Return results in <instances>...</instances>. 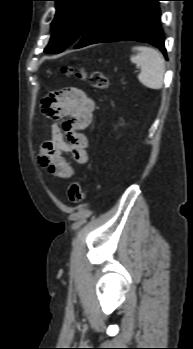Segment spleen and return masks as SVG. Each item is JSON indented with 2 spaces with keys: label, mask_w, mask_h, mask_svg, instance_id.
Segmentation results:
<instances>
[{
  "label": "spleen",
  "mask_w": 193,
  "mask_h": 349,
  "mask_svg": "<svg viewBox=\"0 0 193 349\" xmlns=\"http://www.w3.org/2000/svg\"><path fill=\"white\" fill-rule=\"evenodd\" d=\"M136 55L131 56V61L140 67L139 81L150 89H161L165 73L164 57L151 47H134Z\"/></svg>",
  "instance_id": "1"
}]
</instances>
